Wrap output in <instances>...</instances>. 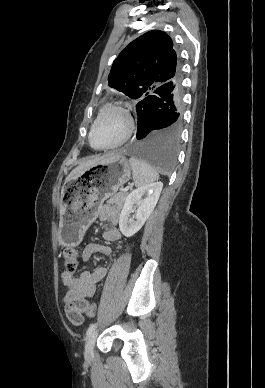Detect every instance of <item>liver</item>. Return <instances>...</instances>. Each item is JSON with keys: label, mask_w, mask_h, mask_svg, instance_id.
<instances>
[{"label": "liver", "mask_w": 265, "mask_h": 388, "mask_svg": "<svg viewBox=\"0 0 265 388\" xmlns=\"http://www.w3.org/2000/svg\"><path fill=\"white\" fill-rule=\"evenodd\" d=\"M109 156H116V154H105V156H101V158H95V160H88V162H82L80 166H77L75 170H72L71 174L67 176L65 182H69V180H72L74 176H78L79 172H83V170H88V168L96 166L98 162H101V160H104V158H109Z\"/></svg>", "instance_id": "1"}]
</instances>
